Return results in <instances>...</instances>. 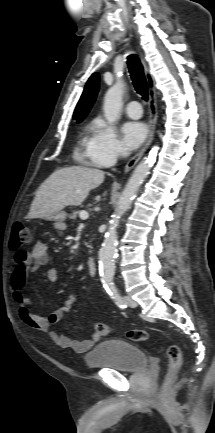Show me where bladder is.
<instances>
[{
    "mask_svg": "<svg viewBox=\"0 0 215 433\" xmlns=\"http://www.w3.org/2000/svg\"><path fill=\"white\" fill-rule=\"evenodd\" d=\"M89 368H104L119 372H137L148 364L146 353L131 343L118 339L100 342L85 356Z\"/></svg>",
    "mask_w": 215,
    "mask_h": 433,
    "instance_id": "bladder-1",
    "label": "bladder"
}]
</instances>
